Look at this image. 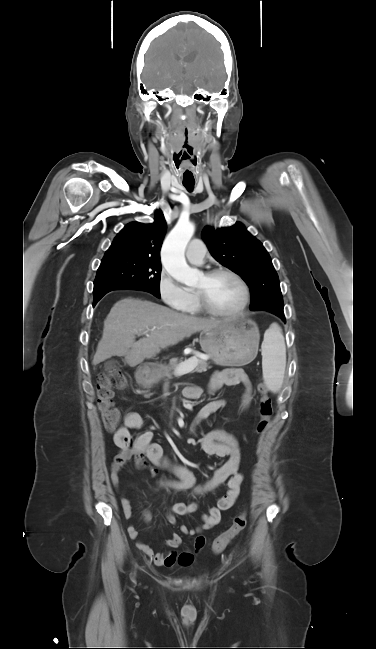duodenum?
I'll return each instance as SVG.
<instances>
[{
    "label": "duodenum",
    "instance_id": "duodenum-1",
    "mask_svg": "<svg viewBox=\"0 0 376 649\" xmlns=\"http://www.w3.org/2000/svg\"><path fill=\"white\" fill-rule=\"evenodd\" d=\"M146 378H147V370L146 369L140 370V372H139V380H140V382L145 381Z\"/></svg>",
    "mask_w": 376,
    "mask_h": 649
}]
</instances>
